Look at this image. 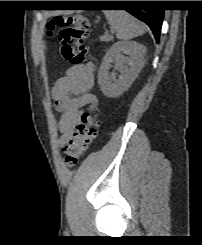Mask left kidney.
Wrapping results in <instances>:
<instances>
[{
	"label": "left kidney",
	"mask_w": 202,
	"mask_h": 245,
	"mask_svg": "<svg viewBox=\"0 0 202 245\" xmlns=\"http://www.w3.org/2000/svg\"><path fill=\"white\" fill-rule=\"evenodd\" d=\"M123 54H127L125 57ZM146 47L138 42H117L103 58L98 73L100 89L106 97L116 98L123 94L134 82L144 65ZM120 72L119 79L109 75L111 63ZM129 63L130 67L124 65Z\"/></svg>",
	"instance_id": "1"
}]
</instances>
